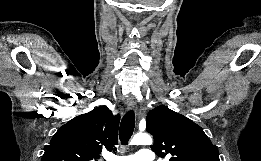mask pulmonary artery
Returning a JSON list of instances; mask_svg holds the SVG:
<instances>
[{"label": "pulmonary artery", "instance_id": "obj_1", "mask_svg": "<svg viewBox=\"0 0 261 161\" xmlns=\"http://www.w3.org/2000/svg\"><path fill=\"white\" fill-rule=\"evenodd\" d=\"M111 161H151L148 149H140L134 155L130 156H110Z\"/></svg>", "mask_w": 261, "mask_h": 161}]
</instances>
